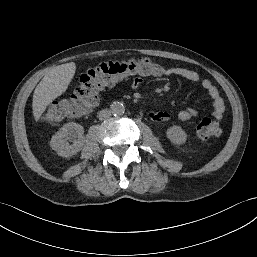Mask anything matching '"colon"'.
I'll list each match as a JSON object with an SVG mask.
<instances>
[{
	"mask_svg": "<svg viewBox=\"0 0 257 257\" xmlns=\"http://www.w3.org/2000/svg\"><path fill=\"white\" fill-rule=\"evenodd\" d=\"M161 74L159 64L148 57L100 63L81 75L78 86L70 100L50 106L42 116L43 121L55 123L67 117L85 114L98 102V93L103 88L133 77H152ZM222 134L219 120L203 118L197 126L201 139H214Z\"/></svg>",
	"mask_w": 257,
	"mask_h": 257,
	"instance_id": "5ec220e1",
	"label": "colon"
}]
</instances>
